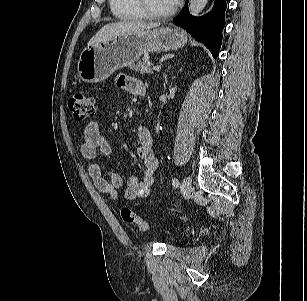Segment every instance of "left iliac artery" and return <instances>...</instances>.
<instances>
[{"label": "left iliac artery", "mask_w": 307, "mask_h": 301, "mask_svg": "<svg viewBox=\"0 0 307 301\" xmlns=\"http://www.w3.org/2000/svg\"><path fill=\"white\" fill-rule=\"evenodd\" d=\"M172 184L175 186V187H178L179 186V180L177 178H173L172 179Z\"/></svg>", "instance_id": "1"}]
</instances>
